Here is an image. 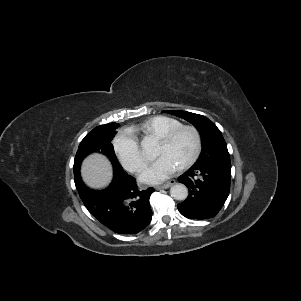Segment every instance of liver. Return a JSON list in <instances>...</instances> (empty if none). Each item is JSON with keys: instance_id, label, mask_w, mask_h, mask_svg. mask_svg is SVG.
<instances>
[{"instance_id": "6515ba94", "label": "liver", "mask_w": 301, "mask_h": 301, "mask_svg": "<svg viewBox=\"0 0 301 301\" xmlns=\"http://www.w3.org/2000/svg\"><path fill=\"white\" fill-rule=\"evenodd\" d=\"M81 175L88 186L101 189L112 179V166L104 155L94 153L83 161Z\"/></svg>"}]
</instances>
